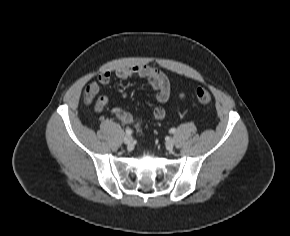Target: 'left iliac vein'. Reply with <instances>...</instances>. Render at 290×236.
Here are the masks:
<instances>
[{"label": "left iliac vein", "instance_id": "obj_1", "mask_svg": "<svg viewBox=\"0 0 290 236\" xmlns=\"http://www.w3.org/2000/svg\"><path fill=\"white\" fill-rule=\"evenodd\" d=\"M174 144H175V141H174V139L173 138H169L167 141H166V148L168 149V150H172L173 149V147H174Z\"/></svg>", "mask_w": 290, "mask_h": 236}]
</instances>
